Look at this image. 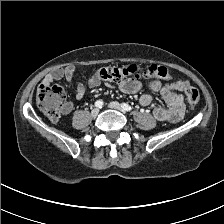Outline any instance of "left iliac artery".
Masks as SVG:
<instances>
[{"instance_id": "obj_1", "label": "left iliac artery", "mask_w": 224, "mask_h": 224, "mask_svg": "<svg viewBox=\"0 0 224 224\" xmlns=\"http://www.w3.org/2000/svg\"><path fill=\"white\" fill-rule=\"evenodd\" d=\"M121 107L124 111H131L132 107L130 105H128L127 103H122Z\"/></svg>"}]
</instances>
